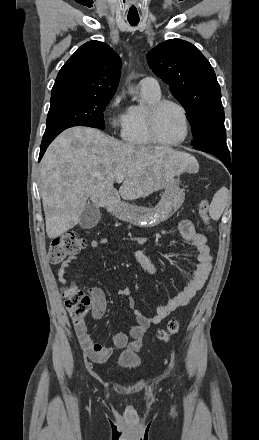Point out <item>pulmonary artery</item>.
Segmentation results:
<instances>
[{
    "label": "pulmonary artery",
    "instance_id": "e3ab8cb5",
    "mask_svg": "<svg viewBox=\"0 0 259 440\" xmlns=\"http://www.w3.org/2000/svg\"><path fill=\"white\" fill-rule=\"evenodd\" d=\"M139 88L142 92L151 95H160L161 90L158 81L153 77H145L140 80Z\"/></svg>",
    "mask_w": 259,
    "mask_h": 440
}]
</instances>
